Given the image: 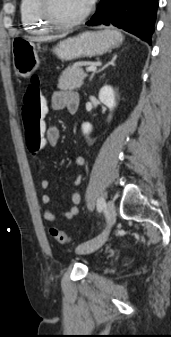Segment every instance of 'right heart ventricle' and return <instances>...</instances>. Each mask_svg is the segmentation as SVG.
Here are the masks:
<instances>
[{
	"instance_id": "1",
	"label": "right heart ventricle",
	"mask_w": 171,
	"mask_h": 337,
	"mask_svg": "<svg viewBox=\"0 0 171 337\" xmlns=\"http://www.w3.org/2000/svg\"><path fill=\"white\" fill-rule=\"evenodd\" d=\"M20 16L26 31L46 32L50 29V25L41 16L40 0H21Z\"/></svg>"
}]
</instances>
